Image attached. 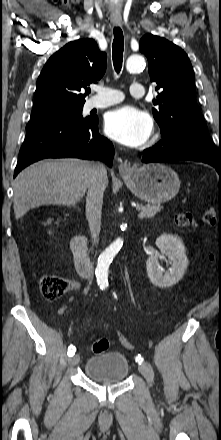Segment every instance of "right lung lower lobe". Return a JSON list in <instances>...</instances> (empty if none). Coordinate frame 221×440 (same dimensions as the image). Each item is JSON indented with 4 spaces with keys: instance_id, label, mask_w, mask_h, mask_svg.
<instances>
[{
    "instance_id": "98d812e1",
    "label": "right lung lower lobe",
    "mask_w": 221,
    "mask_h": 440,
    "mask_svg": "<svg viewBox=\"0 0 221 440\" xmlns=\"http://www.w3.org/2000/svg\"><path fill=\"white\" fill-rule=\"evenodd\" d=\"M97 125V117L76 120L52 116L30 120L14 177L28 165L44 158L100 159L112 166L113 145L98 134Z\"/></svg>"
}]
</instances>
